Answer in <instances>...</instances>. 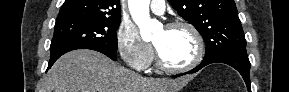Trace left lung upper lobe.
<instances>
[{
  "label": "left lung upper lobe",
  "mask_w": 289,
  "mask_h": 92,
  "mask_svg": "<svg viewBox=\"0 0 289 92\" xmlns=\"http://www.w3.org/2000/svg\"><path fill=\"white\" fill-rule=\"evenodd\" d=\"M206 42L205 57L246 52V39L234 0H168Z\"/></svg>",
  "instance_id": "1"
}]
</instances>
